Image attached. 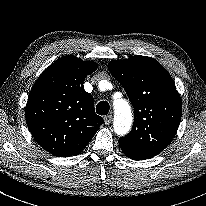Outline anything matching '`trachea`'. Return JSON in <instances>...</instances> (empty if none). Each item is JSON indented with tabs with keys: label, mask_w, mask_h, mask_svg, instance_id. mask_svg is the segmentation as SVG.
<instances>
[{
	"label": "trachea",
	"mask_w": 206,
	"mask_h": 206,
	"mask_svg": "<svg viewBox=\"0 0 206 206\" xmlns=\"http://www.w3.org/2000/svg\"><path fill=\"white\" fill-rule=\"evenodd\" d=\"M110 106L107 101H101L96 106V112L99 115H107L109 112Z\"/></svg>",
	"instance_id": "1"
}]
</instances>
